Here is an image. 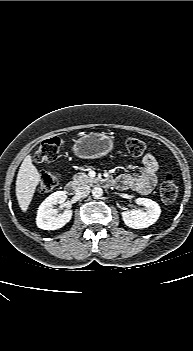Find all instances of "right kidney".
<instances>
[{
    "mask_svg": "<svg viewBox=\"0 0 193 351\" xmlns=\"http://www.w3.org/2000/svg\"><path fill=\"white\" fill-rule=\"evenodd\" d=\"M67 199L65 191H57L49 195L39 206L36 217L38 228L43 230H57L65 226L72 218V210H65L56 215L53 206L61 204Z\"/></svg>",
    "mask_w": 193,
    "mask_h": 351,
    "instance_id": "right-kidney-1",
    "label": "right kidney"
}]
</instances>
